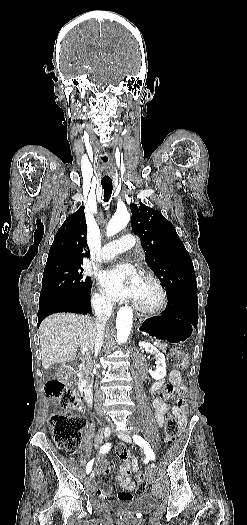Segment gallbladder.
Returning <instances> with one entry per match:
<instances>
[{"label": "gallbladder", "instance_id": "obj_1", "mask_svg": "<svg viewBox=\"0 0 247 525\" xmlns=\"http://www.w3.org/2000/svg\"><path fill=\"white\" fill-rule=\"evenodd\" d=\"M41 372L47 380L56 379L60 373V365L59 363H54V365H45L42 367Z\"/></svg>", "mask_w": 247, "mask_h": 525}]
</instances>
